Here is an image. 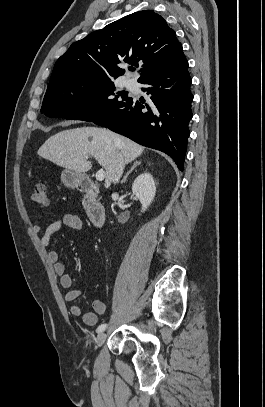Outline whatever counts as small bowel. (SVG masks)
I'll return each instance as SVG.
<instances>
[{
	"instance_id": "obj_1",
	"label": "small bowel",
	"mask_w": 265,
	"mask_h": 407,
	"mask_svg": "<svg viewBox=\"0 0 265 407\" xmlns=\"http://www.w3.org/2000/svg\"><path fill=\"white\" fill-rule=\"evenodd\" d=\"M62 227L81 230L83 228V223L78 216L66 213L62 215L60 219L50 222L44 229L39 223H34L32 225V230L35 234L42 233L40 243L42 247L47 250L48 259L53 264L56 274L60 277L61 286L67 290L64 299L66 302L71 303V315L76 317L82 316L83 322L86 325L95 326L98 323V316L106 313L107 305L101 300H95L93 302V311L83 314L81 306L75 303L83 295L84 291L73 287V279L66 272L65 264L60 260L58 252L50 248L51 236L58 232Z\"/></svg>"
}]
</instances>
